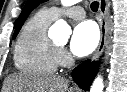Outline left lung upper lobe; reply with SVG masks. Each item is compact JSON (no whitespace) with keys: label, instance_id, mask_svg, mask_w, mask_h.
I'll list each match as a JSON object with an SVG mask.
<instances>
[{"label":"left lung upper lobe","instance_id":"1","mask_svg":"<svg viewBox=\"0 0 127 92\" xmlns=\"http://www.w3.org/2000/svg\"><path fill=\"white\" fill-rule=\"evenodd\" d=\"M46 0H28L25 7L23 8L18 20L17 25L15 29V33L13 38L18 34L19 30L21 29V26L23 25L25 19L27 18L28 14L40 3L44 2Z\"/></svg>","mask_w":127,"mask_h":92}]
</instances>
